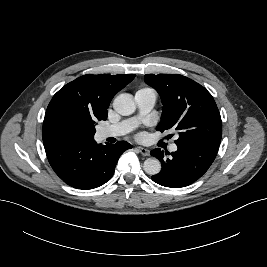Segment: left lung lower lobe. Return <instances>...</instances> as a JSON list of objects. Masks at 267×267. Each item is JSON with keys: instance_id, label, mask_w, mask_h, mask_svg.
Returning <instances> with one entry per match:
<instances>
[{"instance_id": "obj_1", "label": "left lung lower lobe", "mask_w": 267, "mask_h": 267, "mask_svg": "<svg viewBox=\"0 0 267 267\" xmlns=\"http://www.w3.org/2000/svg\"><path fill=\"white\" fill-rule=\"evenodd\" d=\"M219 146L213 144L178 146L176 152L154 149L151 155L160 160L162 170L152 176L159 185L171 188L188 186L202 177L213 163ZM171 155L166 158L165 155Z\"/></svg>"}]
</instances>
